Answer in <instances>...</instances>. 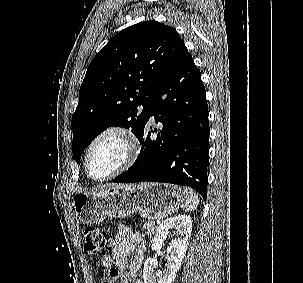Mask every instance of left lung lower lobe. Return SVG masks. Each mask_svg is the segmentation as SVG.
Segmentation results:
<instances>
[{"label":"left lung lower lobe","instance_id":"1","mask_svg":"<svg viewBox=\"0 0 303 283\" xmlns=\"http://www.w3.org/2000/svg\"><path fill=\"white\" fill-rule=\"evenodd\" d=\"M208 113L200 71L185 47L149 103L148 121L154 116L163 128L152 140L150 135L157 129L153 131L147 121L139 137L142 147L137 160L113 182L186 185L206 200Z\"/></svg>","mask_w":303,"mask_h":283}]
</instances>
